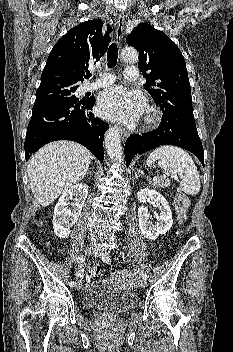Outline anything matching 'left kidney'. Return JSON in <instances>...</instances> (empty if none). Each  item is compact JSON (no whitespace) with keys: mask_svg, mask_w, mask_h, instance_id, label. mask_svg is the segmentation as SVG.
I'll return each instance as SVG.
<instances>
[{"mask_svg":"<svg viewBox=\"0 0 233 352\" xmlns=\"http://www.w3.org/2000/svg\"><path fill=\"white\" fill-rule=\"evenodd\" d=\"M137 198L142 204L138 208L139 227L142 234L149 240H155L160 235L166 234L173 224L172 213L168 201L154 189L144 188L137 193ZM152 201L154 207H158L159 215L157 222L149 221L148 208L143 204Z\"/></svg>","mask_w":233,"mask_h":352,"instance_id":"obj_1","label":"left kidney"}]
</instances>
